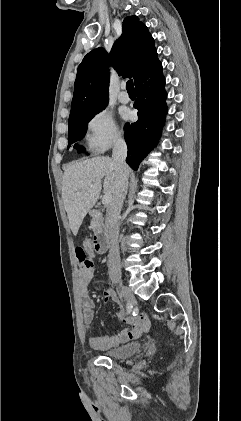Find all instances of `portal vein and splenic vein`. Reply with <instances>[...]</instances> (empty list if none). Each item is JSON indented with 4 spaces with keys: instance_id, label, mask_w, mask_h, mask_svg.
I'll return each mask as SVG.
<instances>
[{
    "instance_id": "18ae733b",
    "label": "portal vein and splenic vein",
    "mask_w": 241,
    "mask_h": 421,
    "mask_svg": "<svg viewBox=\"0 0 241 421\" xmlns=\"http://www.w3.org/2000/svg\"><path fill=\"white\" fill-rule=\"evenodd\" d=\"M111 200H112V196L110 194H105L102 197V204L108 205L111 202Z\"/></svg>"
}]
</instances>
